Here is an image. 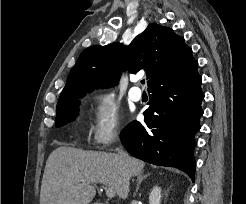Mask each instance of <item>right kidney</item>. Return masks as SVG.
<instances>
[{
    "mask_svg": "<svg viewBox=\"0 0 246 204\" xmlns=\"http://www.w3.org/2000/svg\"><path fill=\"white\" fill-rule=\"evenodd\" d=\"M161 202V188L156 186L152 189L149 195L150 204H160Z\"/></svg>",
    "mask_w": 246,
    "mask_h": 204,
    "instance_id": "ca27d5eb",
    "label": "right kidney"
}]
</instances>
